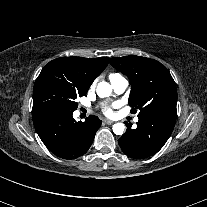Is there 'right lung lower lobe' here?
<instances>
[{
	"label": "right lung lower lobe",
	"mask_w": 207,
	"mask_h": 207,
	"mask_svg": "<svg viewBox=\"0 0 207 207\" xmlns=\"http://www.w3.org/2000/svg\"><path fill=\"white\" fill-rule=\"evenodd\" d=\"M33 124L44 145L55 155L75 159L91 146L102 121L89 116L85 122H76L72 114L45 112L32 115Z\"/></svg>",
	"instance_id": "98d812e1"
}]
</instances>
